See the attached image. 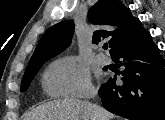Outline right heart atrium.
<instances>
[{"instance_id":"right-heart-atrium-1","label":"right heart atrium","mask_w":165,"mask_h":120,"mask_svg":"<svg viewBox=\"0 0 165 120\" xmlns=\"http://www.w3.org/2000/svg\"><path fill=\"white\" fill-rule=\"evenodd\" d=\"M44 86L53 96L88 98L94 93L89 73L71 57L49 65L44 73Z\"/></svg>"}]
</instances>
